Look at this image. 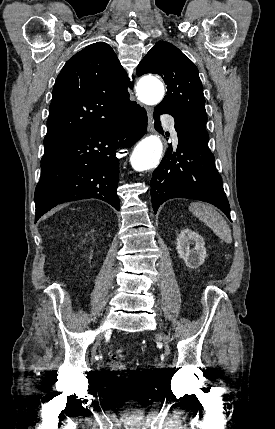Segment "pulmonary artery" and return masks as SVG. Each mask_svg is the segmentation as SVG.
Listing matches in <instances>:
<instances>
[{
  "label": "pulmonary artery",
  "mask_w": 275,
  "mask_h": 429,
  "mask_svg": "<svg viewBox=\"0 0 275 429\" xmlns=\"http://www.w3.org/2000/svg\"><path fill=\"white\" fill-rule=\"evenodd\" d=\"M163 122L169 127L174 141L178 142L177 132H176V130L174 128L172 120L168 116H164L163 117Z\"/></svg>",
  "instance_id": "obj_1"
}]
</instances>
